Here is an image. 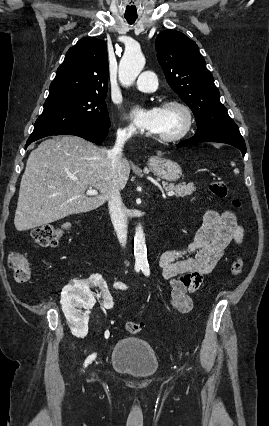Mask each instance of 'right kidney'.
Here are the masks:
<instances>
[{
    "mask_svg": "<svg viewBox=\"0 0 269 426\" xmlns=\"http://www.w3.org/2000/svg\"><path fill=\"white\" fill-rule=\"evenodd\" d=\"M94 286L96 290H102L103 299L98 301V308L102 311H111L113 309V300L110 294H107V285L100 276H91L82 281H70L68 286L61 288L63 294L61 299L62 310L71 326H77L81 333L85 335L88 330V316L83 314L77 308L90 309L95 298L90 290Z\"/></svg>",
    "mask_w": 269,
    "mask_h": 426,
    "instance_id": "obj_1",
    "label": "right kidney"
}]
</instances>
